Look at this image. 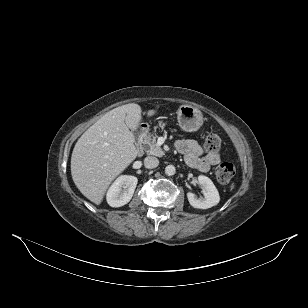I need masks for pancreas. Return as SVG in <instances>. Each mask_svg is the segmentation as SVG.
<instances>
[{"label": "pancreas", "mask_w": 308, "mask_h": 308, "mask_svg": "<svg viewBox=\"0 0 308 308\" xmlns=\"http://www.w3.org/2000/svg\"><path fill=\"white\" fill-rule=\"evenodd\" d=\"M159 127L163 130L165 127V123L159 122ZM157 137L158 136L156 135V132H154V134L148 133L144 136V144L149 154L162 157L164 155V152L156 142Z\"/></svg>", "instance_id": "cf45deb5"}]
</instances>
